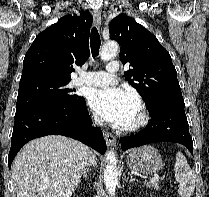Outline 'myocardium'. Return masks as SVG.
Instances as JSON below:
<instances>
[{
	"mask_svg": "<svg viewBox=\"0 0 209 197\" xmlns=\"http://www.w3.org/2000/svg\"><path fill=\"white\" fill-rule=\"evenodd\" d=\"M148 112L146 110L145 105L142 102L138 103V116L135 122L129 126V131H136L141 129L143 126H145L148 122Z\"/></svg>",
	"mask_w": 209,
	"mask_h": 197,
	"instance_id": "1",
	"label": "myocardium"
}]
</instances>
